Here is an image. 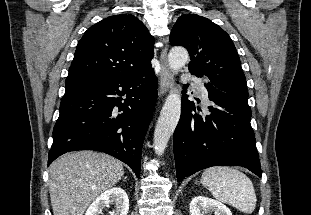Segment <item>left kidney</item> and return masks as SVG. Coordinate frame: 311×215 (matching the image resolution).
Returning <instances> with one entry per match:
<instances>
[{"label": "left kidney", "instance_id": "1", "mask_svg": "<svg viewBox=\"0 0 311 215\" xmlns=\"http://www.w3.org/2000/svg\"><path fill=\"white\" fill-rule=\"evenodd\" d=\"M190 215H208L214 212L215 215H232L230 209L216 200L196 196L190 203Z\"/></svg>", "mask_w": 311, "mask_h": 215}]
</instances>
